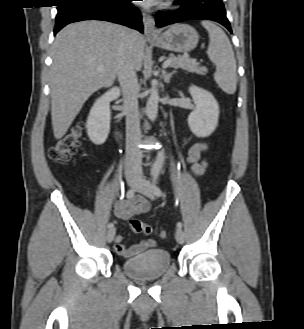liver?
Here are the masks:
<instances>
[{"mask_svg":"<svg viewBox=\"0 0 304 329\" xmlns=\"http://www.w3.org/2000/svg\"><path fill=\"white\" fill-rule=\"evenodd\" d=\"M124 29L129 34L135 69L140 70L145 41L135 30L91 20L69 24L56 35L50 70L51 119L56 139L66 134L95 91L113 84Z\"/></svg>","mask_w":304,"mask_h":329,"instance_id":"liver-1","label":"liver"}]
</instances>
